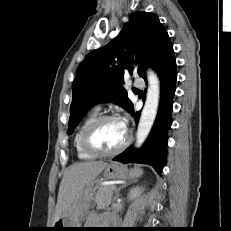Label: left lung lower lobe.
Here are the masks:
<instances>
[{"label":"left lung lower lobe","instance_id":"obj_1","mask_svg":"<svg viewBox=\"0 0 231 231\" xmlns=\"http://www.w3.org/2000/svg\"><path fill=\"white\" fill-rule=\"evenodd\" d=\"M150 67L156 70L161 82L160 103L153 128L145 144L139 150L129 147L113 160L125 164L130 162L149 164L160 173L165 165L167 130L172 123L171 113L177 79L176 60L169 36L163 42ZM143 78L146 80L145 74ZM134 116L135 121L138 122L140 112H136Z\"/></svg>","mask_w":231,"mask_h":231}]
</instances>
